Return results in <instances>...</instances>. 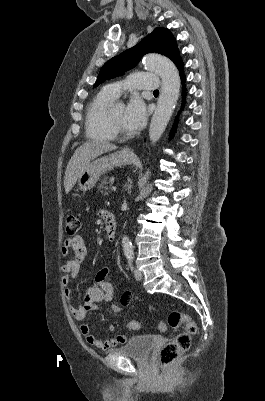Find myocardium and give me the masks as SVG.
<instances>
[{"mask_svg":"<svg viewBox=\"0 0 265 401\" xmlns=\"http://www.w3.org/2000/svg\"><path fill=\"white\" fill-rule=\"evenodd\" d=\"M107 124L112 132V134L114 136L120 135L121 132L118 128V126L116 125L114 118H113V110L112 107L109 110L108 116H107ZM129 135H127L125 138H127Z\"/></svg>","mask_w":265,"mask_h":401,"instance_id":"obj_1","label":"myocardium"}]
</instances>
